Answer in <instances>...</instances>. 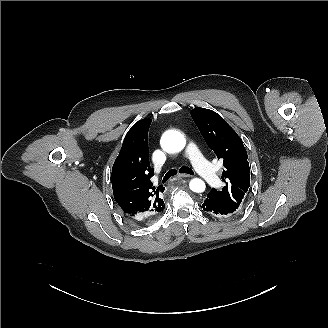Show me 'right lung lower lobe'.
Segmentation results:
<instances>
[{"label":"right lung lower lobe","mask_w":328,"mask_h":328,"mask_svg":"<svg viewBox=\"0 0 328 328\" xmlns=\"http://www.w3.org/2000/svg\"><path fill=\"white\" fill-rule=\"evenodd\" d=\"M124 217H125L126 219H128L129 221L134 222L133 219H130V218H129L127 215H125V214H124Z\"/></svg>","instance_id":"98d812e1"}]
</instances>
